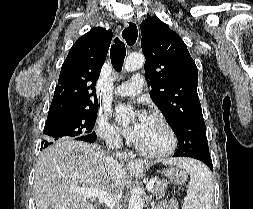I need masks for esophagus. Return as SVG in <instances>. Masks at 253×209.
<instances>
[{
	"instance_id": "1",
	"label": "esophagus",
	"mask_w": 253,
	"mask_h": 209,
	"mask_svg": "<svg viewBox=\"0 0 253 209\" xmlns=\"http://www.w3.org/2000/svg\"><path fill=\"white\" fill-rule=\"evenodd\" d=\"M120 36L125 40L128 47H132L136 44L139 36V29L136 24V21L130 19L124 21V27L120 32ZM118 156L123 161H129L131 166H136L142 164V161L135 159L132 154L126 152H119Z\"/></svg>"
}]
</instances>
